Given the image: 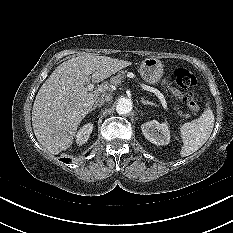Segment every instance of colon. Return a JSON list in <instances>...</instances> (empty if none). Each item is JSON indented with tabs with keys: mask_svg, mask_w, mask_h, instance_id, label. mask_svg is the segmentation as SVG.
Segmentation results:
<instances>
[{
	"mask_svg": "<svg viewBox=\"0 0 233 233\" xmlns=\"http://www.w3.org/2000/svg\"><path fill=\"white\" fill-rule=\"evenodd\" d=\"M175 83L185 90L184 100L193 114H197L200 110L199 105L195 101L194 88L197 85L196 76L186 68H176L173 72Z\"/></svg>",
	"mask_w": 233,
	"mask_h": 233,
	"instance_id": "5ec220e1",
	"label": "colon"
}]
</instances>
